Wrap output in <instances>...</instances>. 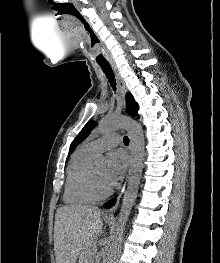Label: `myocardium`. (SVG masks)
<instances>
[{"label":"myocardium","mask_w":220,"mask_h":263,"mask_svg":"<svg viewBox=\"0 0 220 263\" xmlns=\"http://www.w3.org/2000/svg\"><path fill=\"white\" fill-rule=\"evenodd\" d=\"M86 189L88 193L95 199L101 200L109 197L113 193V186L108 188L107 190H101L96 181L95 172H94V165L91 164L90 168L88 169L87 176H86Z\"/></svg>","instance_id":"1"}]
</instances>
